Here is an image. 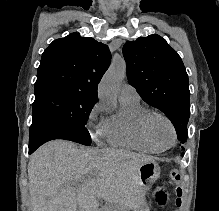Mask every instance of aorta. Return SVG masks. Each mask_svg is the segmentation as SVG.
Listing matches in <instances>:
<instances>
[{
  "instance_id": "1",
  "label": "aorta",
  "mask_w": 219,
  "mask_h": 211,
  "mask_svg": "<svg viewBox=\"0 0 219 211\" xmlns=\"http://www.w3.org/2000/svg\"><path fill=\"white\" fill-rule=\"evenodd\" d=\"M126 74V64L122 58H116L112 61L109 69L103 76L98 92L99 97L108 104L116 102L121 83Z\"/></svg>"
}]
</instances>
